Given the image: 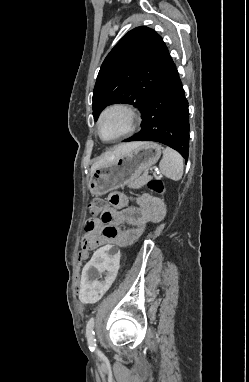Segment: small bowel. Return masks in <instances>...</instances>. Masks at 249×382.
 Returning a JSON list of instances; mask_svg holds the SVG:
<instances>
[{
	"label": "small bowel",
	"mask_w": 249,
	"mask_h": 382,
	"mask_svg": "<svg viewBox=\"0 0 249 382\" xmlns=\"http://www.w3.org/2000/svg\"><path fill=\"white\" fill-rule=\"evenodd\" d=\"M108 202L111 206L108 210L85 222L82 245L86 253L108 243L119 247L130 245L142 235L149 223L161 221L166 213L163 202L150 196H143L138 205L132 206L125 194L114 192L108 196ZM124 223L129 228L122 229Z\"/></svg>",
	"instance_id": "1"
}]
</instances>
